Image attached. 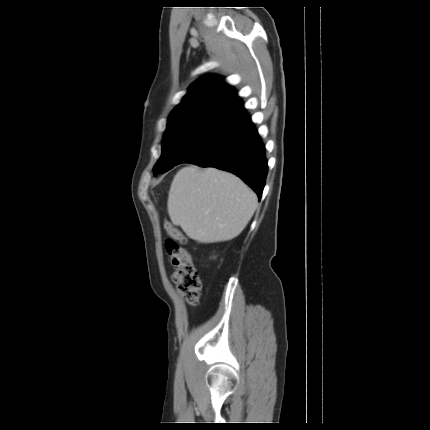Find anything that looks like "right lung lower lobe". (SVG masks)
Returning <instances> with one entry per match:
<instances>
[{
  "instance_id": "1",
  "label": "right lung lower lobe",
  "mask_w": 430,
  "mask_h": 430,
  "mask_svg": "<svg viewBox=\"0 0 430 430\" xmlns=\"http://www.w3.org/2000/svg\"><path fill=\"white\" fill-rule=\"evenodd\" d=\"M185 162L234 173L249 185L259 198L262 196L268 170L265 147L248 114Z\"/></svg>"
}]
</instances>
